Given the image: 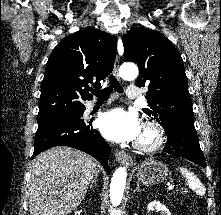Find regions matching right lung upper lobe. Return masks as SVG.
I'll return each instance as SVG.
<instances>
[{
    "instance_id": "1",
    "label": "right lung upper lobe",
    "mask_w": 221,
    "mask_h": 215,
    "mask_svg": "<svg viewBox=\"0 0 221 215\" xmlns=\"http://www.w3.org/2000/svg\"><path fill=\"white\" fill-rule=\"evenodd\" d=\"M117 38L98 29L67 36L51 53L41 85L38 117L60 115L84 108L92 99L90 86L113 70Z\"/></svg>"
}]
</instances>
